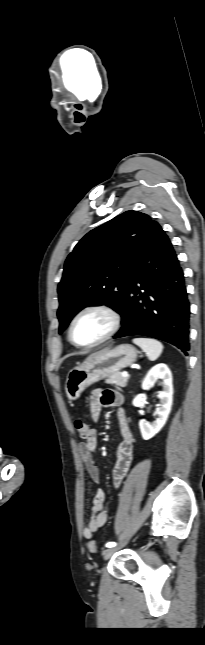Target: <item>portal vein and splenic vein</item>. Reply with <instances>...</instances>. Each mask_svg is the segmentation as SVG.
I'll list each match as a JSON object with an SVG mask.
<instances>
[{"mask_svg":"<svg viewBox=\"0 0 205 645\" xmlns=\"http://www.w3.org/2000/svg\"><path fill=\"white\" fill-rule=\"evenodd\" d=\"M122 376H123V377H128V376H129V374H128L127 372H123Z\"/></svg>","mask_w":205,"mask_h":645,"instance_id":"portal-vein-and-splenic-vein-1","label":"portal vein and splenic vein"}]
</instances>
